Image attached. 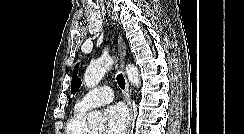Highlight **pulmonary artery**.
I'll list each match as a JSON object with an SVG mask.
<instances>
[{"mask_svg": "<svg viewBox=\"0 0 244 134\" xmlns=\"http://www.w3.org/2000/svg\"><path fill=\"white\" fill-rule=\"evenodd\" d=\"M114 99L113 89L109 86H101L87 92L76 104V109L87 111L91 108L110 103Z\"/></svg>", "mask_w": 244, "mask_h": 134, "instance_id": "pulmonary-artery-1", "label": "pulmonary artery"}]
</instances>
